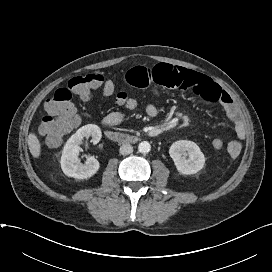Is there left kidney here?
I'll use <instances>...</instances> for the list:
<instances>
[{"instance_id": "1", "label": "left kidney", "mask_w": 272, "mask_h": 272, "mask_svg": "<svg viewBox=\"0 0 272 272\" xmlns=\"http://www.w3.org/2000/svg\"><path fill=\"white\" fill-rule=\"evenodd\" d=\"M177 170L183 175H191L199 172L205 164V156L199 146L189 140L174 142L169 149ZM188 156V158H186Z\"/></svg>"}]
</instances>
